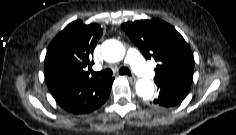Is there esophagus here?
I'll return each instance as SVG.
<instances>
[{"label": "esophagus", "instance_id": "obj_1", "mask_svg": "<svg viewBox=\"0 0 236 135\" xmlns=\"http://www.w3.org/2000/svg\"><path fill=\"white\" fill-rule=\"evenodd\" d=\"M124 77L127 78L131 83L136 82V78H134V77H129V76H124Z\"/></svg>", "mask_w": 236, "mask_h": 135}]
</instances>
